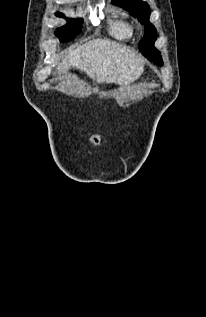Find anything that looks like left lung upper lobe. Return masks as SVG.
I'll list each match as a JSON object with an SVG mask.
<instances>
[{"mask_svg": "<svg viewBox=\"0 0 206 317\" xmlns=\"http://www.w3.org/2000/svg\"><path fill=\"white\" fill-rule=\"evenodd\" d=\"M112 3L131 12L134 17L138 18L140 23L145 25V34L139 43V49L145 57L149 58L150 56L154 63L162 65L161 54L154 47L156 29L154 25L149 22L151 13L149 5L141 0H112Z\"/></svg>", "mask_w": 206, "mask_h": 317, "instance_id": "obj_1", "label": "left lung upper lobe"}]
</instances>
